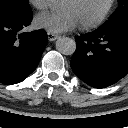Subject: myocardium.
Masks as SVG:
<instances>
[{
  "instance_id": "obj_1",
  "label": "myocardium",
  "mask_w": 128,
  "mask_h": 128,
  "mask_svg": "<svg viewBox=\"0 0 128 128\" xmlns=\"http://www.w3.org/2000/svg\"><path fill=\"white\" fill-rule=\"evenodd\" d=\"M116 4V0H109L106 8L103 10V12L100 14V16L95 19L94 21L87 23V24H80V27L82 30H92L104 23V21L107 19L109 14L111 13L112 9L114 8Z\"/></svg>"
}]
</instances>
